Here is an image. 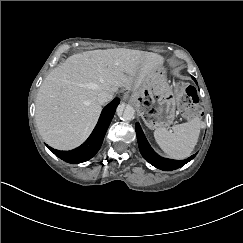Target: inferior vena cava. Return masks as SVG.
Returning a JSON list of instances; mask_svg holds the SVG:
<instances>
[{
  "mask_svg": "<svg viewBox=\"0 0 243 243\" xmlns=\"http://www.w3.org/2000/svg\"><path fill=\"white\" fill-rule=\"evenodd\" d=\"M112 98H113V93L107 90H102L97 96V100L100 104L106 103L110 101Z\"/></svg>",
  "mask_w": 243,
  "mask_h": 243,
  "instance_id": "obj_1",
  "label": "inferior vena cava"
}]
</instances>
